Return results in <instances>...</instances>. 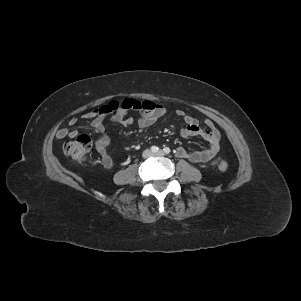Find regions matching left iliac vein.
<instances>
[{
  "label": "left iliac vein",
  "mask_w": 301,
  "mask_h": 301,
  "mask_svg": "<svg viewBox=\"0 0 301 301\" xmlns=\"http://www.w3.org/2000/svg\"><path fill=\"white\" fill-rule=\"evenodd\" d=\"M157 156H164V152L162 150H159L157 153H155Z\"/></svg>",
  "instance_id": "left-iliac-vein-1"
}]
</instances>
